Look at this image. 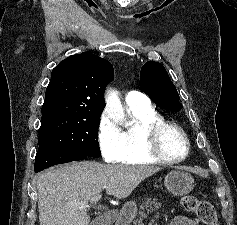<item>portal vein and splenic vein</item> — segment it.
<instances>
[{
  "mask_svg": "<svg viewBox=\"0 0 237 225\" xmlns=\"http://www.w3.org/2000/svg\"><path fill=\"white\" fill-rule=\"evenodd\" d=\"M101 198V194H96L95 196H94V198H92L91 199V202L93 203H96L99 199ZM81 205H83V206H88L86 203H82Z\"/></svg>",
  "mask_w": 237,
  "mask_h": 225,
  "instance_id": "obj_1",
  "label": "portal vein and splenic vein"
}]
</instances>
